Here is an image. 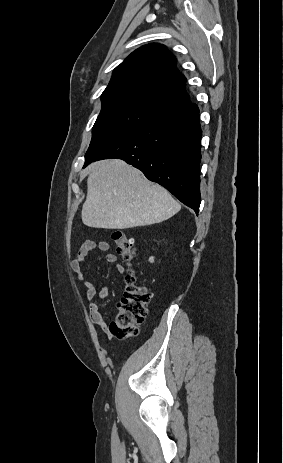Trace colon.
Segmentation results:
<instances>
[{"instance_id": "colon-1", "label": "colon", "mask_w": 283, "mask_h": 463, "mask_svg": "<svg viewBox=\"0 0 283 463\" xmlns=\"http://www.w3.org/2000/svg\"><path fill=\"white\" fill-rule=\"evenodd\" d=\"M112 240L117 253L131 265L137 255L132 238L121 230H115ZM149 300V290L138 282L131 269L126 276L124 296L110 324V333L120 340L136 335L146 317Z\"/></svg>"}]
</instances>
